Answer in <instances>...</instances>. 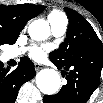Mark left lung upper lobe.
Here are the masks:
<instances>
[{
  "mask_svg": "<svg viewBox=\"0 0 103 103\" xmlns=\"http://www.w3.org/2000/svg\"><path fill=\"white\" fill-rule=\"evenodd\" d=\"M64 10L69 17L67 37L49 55L50 60L60 66L69 65L75 59L85 56L93 47L102 49V42L89 22L72 9Z\"/></svg>",
  "mask_w": 103,
  "mask_h": 103,
  "instance_id": "1",
  "label": "left lung upper lobe"
}]
</instances>
